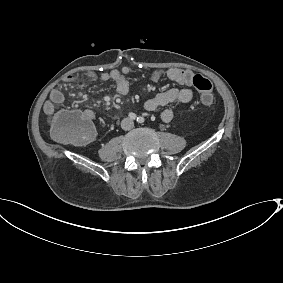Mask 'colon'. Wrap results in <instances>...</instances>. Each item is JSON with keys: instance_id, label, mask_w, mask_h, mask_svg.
<instances>
[{"instance_id": "5ec220e1", "label": "colon", "mask_w": 283, "mask_h": 283, "mask_svg": "<svg viewBox=\"0 0 283 283\" xmlns=\"http://www.w3.org/2000/svg\"><path fill=\"white\" fill-rule=\"evenodd\" d=\"M193 86L200 93V101L209 106L213 102L212 83L206 77L196 74ZM51 133L61 141L74 145L89 143L95 135L91 118L79 110L59 111L51 117Z\"/></svg>"}]
</instances>
